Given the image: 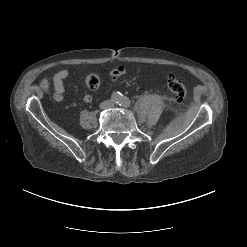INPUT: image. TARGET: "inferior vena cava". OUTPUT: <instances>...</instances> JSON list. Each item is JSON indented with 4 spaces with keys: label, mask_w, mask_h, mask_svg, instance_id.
I'll list each match as a JSON object with an SVG mask.
<instances>
[{
    "label": "inferior vena cava",
    "mask_w": 247,
    "mask_h": 247,
    "mask_svg": "<svg viewBox=\"0 0 247 247\" xmlns=\"http://www.w3.org/2000/svg\"><path fill=\"white\" fill-rule=\"evenodd\" d=\"M108 106H110V103H109V102H102V103H101V107H102V108H106V107H108Z\"/></svg>",
    "instance_id": "obj_1"
}]
</instances>
